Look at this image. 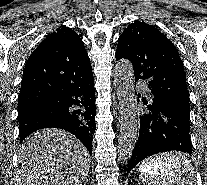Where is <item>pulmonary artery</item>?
<instances>
[{
	"instance_id": "e3ab8cb5",
	"label": "pulmonary artery",
	"mask_w": 207,
	"mask_h": 185,
	"mask_svg": "<svg viewBox=\"0 0 207 185\" xmlns=\"http://www.w3.org/2000/svg\"><path fill=\"white\" fill-rule=\"evenodd\" d=\"M142 91L144 94L148 95L149 94V89L147 87H143Z\"/></svg>"
}]
</instances>
